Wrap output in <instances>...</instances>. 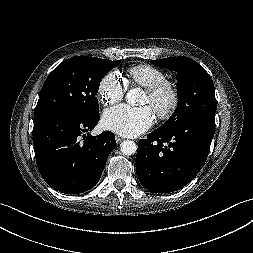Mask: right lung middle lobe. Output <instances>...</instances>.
<instances>
[{
  "label": "right lung middle lobe",
  "instance_id": "1",
  "mask_svg": "<svg viewBox=\"0 0 253 253\" xmlns=\"http://www.w3.org/2000/svg\"><path fill=\"white\" fill-rule=\"evenodd\" d=\"M121 61L95 57H72L59 64L47 77L34 112L65 113L77 118L98 114L96 94L102 78Z\"/></svg>",
  "mask_w": 253,
  "mask_h": 253
}]
</instances>
